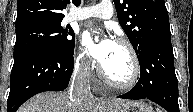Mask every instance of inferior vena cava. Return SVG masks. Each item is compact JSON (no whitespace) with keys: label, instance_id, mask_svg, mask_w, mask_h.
Instances as JSON below:
<instances>
[{"label":"inferior vena cava","instance_id":"obj_1","mask_svg":"<svg viewBox=\"0 0 193 112\" xmlns=\"http://www.w3.org/2000/svg\"><path fill=\"white\" fill-rule=\"evenodd\" d=\"M90 66L86 62L77 64L70 86V99L79 101L82 96L91 94L89 84Z\"/></svg>","mask_w":193,"mask_h":112}]
</instances>
